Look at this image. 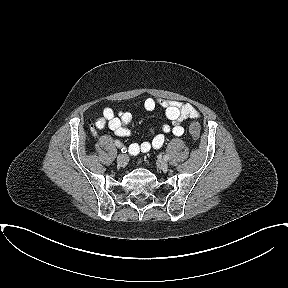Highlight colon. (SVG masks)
I'll return each mask as SVG.
<instances>
[{
  "label": "colon",
  "instance_id": "1",
  "mask_svg": "<svg viewBox=\"0 0 288 288\" xmlns=\"http://www.w3.org/2000/svg\"><path fill=\"white\" fill-rule=\"evenodd\" d=\"M189 134L194 141H198L201 134L200 124L197 121H192L189 125Z\"/></svg>",
  "mask_w": 288,
  "mask_h": 288
}]
</instances>
